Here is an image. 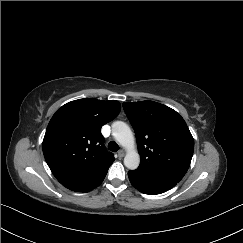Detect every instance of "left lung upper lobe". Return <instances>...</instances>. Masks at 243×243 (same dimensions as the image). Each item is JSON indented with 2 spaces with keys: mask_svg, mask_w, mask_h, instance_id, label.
Returning a JSON list of instances; mask_svg holds the SVG:
<instances>
[{
  "mask_svg": "<svg viewBox=\"0 0 243 243\" xmlns=\"http://www.w3.org/2000/svg\"><path fill=\"white\" fill-rule=\"evenodd\" d=\"M136 134L141 157L136 173L180 168L188 170L194 140L184 119L173 109L153 101L124 102Z\"/></svg>",
  "mask_w": 243,
  "mask_h": 243,
  "instance_id": "5c2ea615",
  "label": "left lung upper lobe"
}]
</instances>
